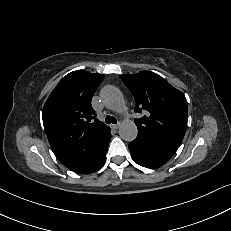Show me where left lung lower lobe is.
<instances>
[{"mask_svg":"<svg viewBox=\"0 0 231 231\" xmlns=\"http://www.w3.org/2000/svg\"><path fill=\"white\" fill-rule=\"evenodd\" d=\"M128 147L132 159L147 168L164 165L177 151V148L157 144L139 136Z\"/></svg>","mask_w":231,"mask_h":231,"instance_id":"obj_1","label":"left lung lower lobe"}]
</instances>
